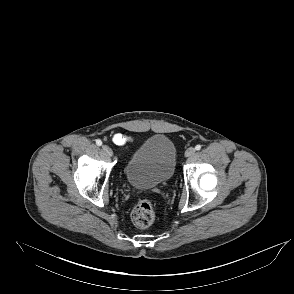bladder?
<instances>
[{"instance_id":"1","label":"bladder","mask_w":294,"mask_h":294,"mask_svg":"<svg viewBox=\"0 0 294 294\" xmlns=\"http://www.w3.org/2000/svg\"><path fill=\"white\" fill-rule=\"evenodd\" d=\"M176 160L174 142L165 134H154L131 156L124 170L126 180L137 189L156 187L172 177Z\"/></svg>"}]
</instances>
